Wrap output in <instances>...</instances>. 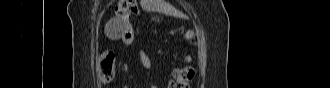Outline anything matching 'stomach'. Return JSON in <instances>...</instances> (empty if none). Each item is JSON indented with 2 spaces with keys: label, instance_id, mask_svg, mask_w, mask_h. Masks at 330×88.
Segmentation results:
<instances>
[{
  "label": "stomach",
  "instance_id": "stomach-1",
  "mask_svg": "<svg viewBox=\"0 0 330 88\" xmlns=\"http://www.w3.org/2000/svg\"><path fill=\"white\" fill-rule=\"evenodd\" d=\"M195 30L193 28H189L185 31L184 38L188 41H191L195 38Z\"/></svg>",
  "mask_w": 330,
  "mask_h": 88
}]
</instances>
